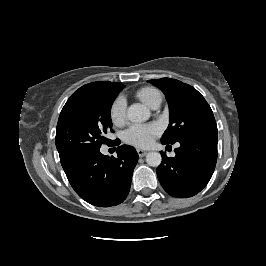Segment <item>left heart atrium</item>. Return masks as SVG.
Returning <instances> with one entry per match:
<instances>
[{"instance_id":"1","label":"left heart atrium","mask_w":266,"mask_h":266,"mask_svg":"<svg viewBox=\"0 0 266 266\" xmlns=\"http://www.w3.org/2000/svg\"><path fill=\"white\" fill-rule=\"evenodd\" d=\"M157 124H134L124 133V140L127 144L146 148L151 145L154 137L159 134Z\"/></svg>"}]
</instances>
